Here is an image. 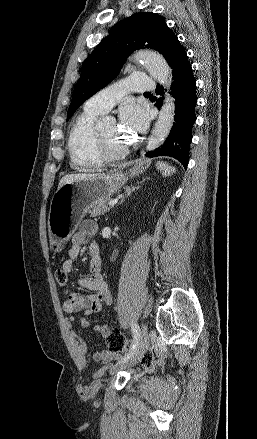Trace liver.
<instances>
[{
    "instance_id": "1",
    "label": "liver",
    "mask_w": 257,
    "mask_h": 439,
    "mask_svg": "<svg viewBox=\"0 0 257 439\" xmlns=\"http://www.w3.org/2000/svg\"><path fill=\"white\" fill-rule=\"evenodd\" d=\"M99 176L98 173H78V174H70L65 175L59 182L58 189L66 183H72L78 180L90 179L93 177Z\"/></svg>"
}]
</instances>
